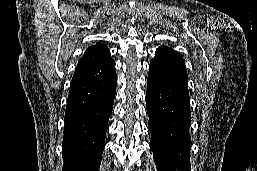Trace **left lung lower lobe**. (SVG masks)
<instances>
[{
	"instance_id": "left-lung-lower-lobe-1",
	"label": "left lung lower lobe",
	"mask_w": 257,
	"mask_h": 171,
	"mask_svg": "<svg viewBox=\"0 0 257 171\" xmlns=\"http://www.w3.org/2000/svg\"><path fill=\"white\" fill-rule=\"evenodd\" d=\"M146 99L157 171H190L188 75L178 52L167 47L156 50L149 65Z\"/></svg>"
}]
</instances>
